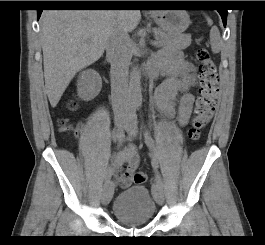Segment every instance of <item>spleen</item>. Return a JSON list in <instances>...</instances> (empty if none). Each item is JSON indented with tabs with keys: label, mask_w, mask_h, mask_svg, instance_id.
I'll use <instances>...</instances> for the list:
<instances>
[{
	"label": "spleen",
	"mask_w": 265,
	"mask_h": 245,
	"mask_svg": "<svg viewBox=\"0 0 265 245\" xmlns=\"http://www.w3.org/2000/svg\"><path fill=\"white\" fill-rule=\"evenodd\" d=\"M208 24H211V20L207 18ZM210 42H211V48L214 53H218L221 48V39H220V33L217 27H212L210 31Z\"/></svg>",
	"instance_id": "spleen-1"
}]
</instances>
